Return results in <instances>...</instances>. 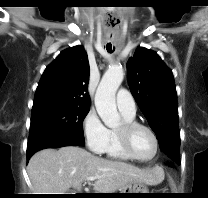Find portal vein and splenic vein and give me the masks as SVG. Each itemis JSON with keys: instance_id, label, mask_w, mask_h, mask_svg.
Returning <instances> with one entry per match:
<instances>
[{"instance_id": "18ae733b", "label": "portal vein and splenic vein", "mask_w": 208, "mask_h": 198, "mask_svg": "<svg viewBox=\"0 0 208 198\" xmlns=\"http://www.w3.org/2000/svg\"><path fill=\"white\" fill-rule=\"evenodd\" d=\"M87 181H95L96 180V177H88L86 178Z\"/></svg>"}]
</instances>
